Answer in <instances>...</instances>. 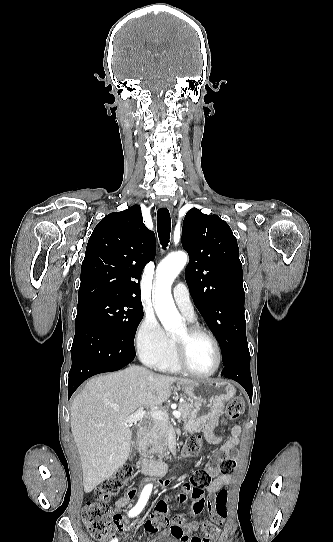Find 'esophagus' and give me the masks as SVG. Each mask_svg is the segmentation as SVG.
Here are the masks:
<instances>
[{
	"label": "esophagus",
	"instance_id": "esophagus-1",
	"mask_svg": "<svg viewBox=\"0 0 333 542\" xmlns=\"http://www.w3.org/2000/svg\"><path fill=\"white\" fill-rule=\"evenodd\" d=\"M162 206L170 210L171 209V202L170 201L163 202Z\"/></svg>",
	"mask_w": 333,
	"mask_h": 542
}]
</instances>
